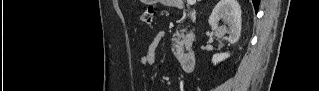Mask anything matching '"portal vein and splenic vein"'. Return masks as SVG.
<instances>
[{
  "mask_svg": "<svg viewBox=\"0 0 319 91\" xmlns=\"http://www.w3.org/2000/svg\"><path fill=\"white\" fill-rule=\"evenodd\" d=\"M188 2H190V4H193V2H195V1H188Z\"/></svg>",
  "mask_w": 319,
  "mask_h": 91,
  "instance_id": "portal-vein-and-splenic-vein-1",
  "label": "portal vein and splenic vein"
}]
</instances>
